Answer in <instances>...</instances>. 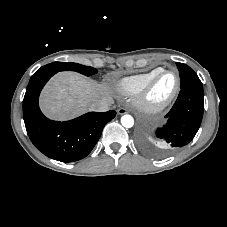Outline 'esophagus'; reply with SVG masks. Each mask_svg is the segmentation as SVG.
Wrapping results in <instances>:
<instances>
[{
  "label": "esophagus",
  "instance_id": "obj_1",
  "mask_svg": "<svg viewBox=\"0 0 227 227\" xmlns=\"http://www.w3.org/2000/svg\"><path fill=\"white\" fill-rule=\"evenodd\" d=\"M127 112H128L127 109H126V108H123V107H121V108H119V109L117 110V113H118L119 115L126 114Z\"/></svg>",
  "mask_w": 227,
  "mask_h": 227
}]
</instances>
